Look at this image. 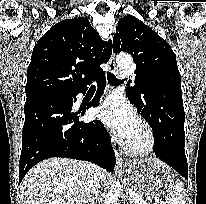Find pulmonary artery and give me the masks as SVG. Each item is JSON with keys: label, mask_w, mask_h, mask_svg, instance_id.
<instances>
[{"label": "pulmonary artery", "mask_w": 206, "mask_h": 204, "mask_svg": "<svg viewBox=\"0 0 206 204\" xmlns=\"http://www.w3.org/2000/svg\"><path fill=\"white\" fill-rule=\"evenodd\" d=\"M132 72V69H129V70H125L122 72V77H127L131 74Z\"/></svg>", "instance_id": "e3ab8cb5"}]
</instances>
